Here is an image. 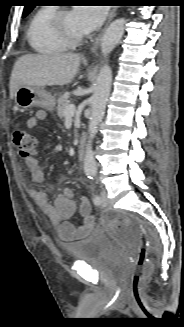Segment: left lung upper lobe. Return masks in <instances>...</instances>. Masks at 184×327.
<instances>
[{"instance_id": "5c2ea615", "label": "left lung upper lobe", "mask_w": 184, "mask_h": 327, "mask_svg": "<svg viewBox=\"0 0 184 327\" xmlns=\"http://www.w3.org/2000/svg\"><path fill=\"white\" fill-rule=\"evenodd\" d=\"M29 4H27L24 8V11H23V15L22 17H26L31 11L32 9L35 7L33 4H32V1L29 0L28 1Z\"/></svg>"}]
</instances>
